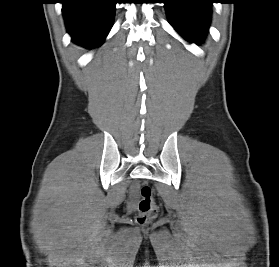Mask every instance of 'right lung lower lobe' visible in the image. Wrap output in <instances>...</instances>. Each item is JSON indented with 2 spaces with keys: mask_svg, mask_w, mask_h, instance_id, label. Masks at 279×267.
I'll return each instance as SVG.
<instances>
[{
  "mask_svg": "<svg viewBox=\"0 0 279 267\" xmlns=\"http://www.w3.org/2000/svg\"><path fill=\"white\" fill-rule=\"evenodd\" d=\"M72 40L85 47L99 46L109 33L116 0H62Z\"/></svg>",
  "mask_w": 279,
  "mask_h": 267,
  "instance_id": "98d812e1",
  "label": "right lung lower lobe"
}]
</instances>
